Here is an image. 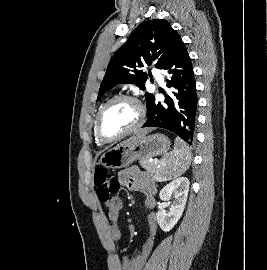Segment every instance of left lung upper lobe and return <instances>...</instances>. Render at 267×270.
Segmentation results:
<instances>
[{
  "mask_svg": "<svg viewBox=\"0 0 267 270\" xmlns=\"http://www.w3.org/2000/svg\"><path fill=\"white\" fill-rule=\"evenodd\" d=\"M179 41L180 36L166 20L141 23L109 62L97 100L120 82L134 83L144 90L147 74L141 68L155 63L156 68L163 69ZM145 98L148 110L155 98L150 93H145Z\"/></svg>",
  "mask_w": 267,
  "mask_h": 270,
  "instance_id": "5c2ea615",
  "label": "left lung upper lobe"
}]
</instances>
